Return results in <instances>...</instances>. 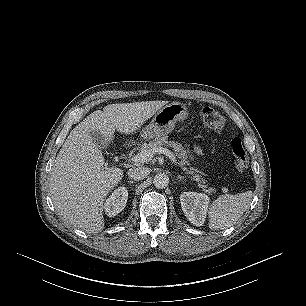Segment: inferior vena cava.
I'll list each match as a JSON object with an SVG mask.
<instances>
[{
	"instance_id": "602c4592",
	"label": "inferior vena cava",
	"mask_w": 306,
	"mask_h": 306,
	"mask_svg": "<svg viewBox=\"0 0 306 306\" xmlns=\"http://www.w3.org/2000/svg\"><path fill=\"white\" fill-rule=\"evenodd\" d=\"M128 177L133 180H141L149 174V169L144 166H135L128 170Z\"/></svg>"
}]
</instances>
